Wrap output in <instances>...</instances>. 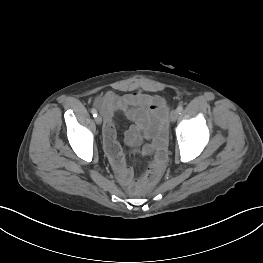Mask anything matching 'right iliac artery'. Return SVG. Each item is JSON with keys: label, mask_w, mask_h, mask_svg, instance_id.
I'll list each match as a JSON object with an SVG mask.
<instances>
[{"label": "right iliac artery", "mask_w": 263, "mask_h": 263, "mask_svg": "<svg viewBox=\"0 0 263 263\" xmlns=\"http://www.w3.org/2000/svg\"><path fill=\"white\" fill-rule=\"evenodd\" d=\"M91 113H92L93 117H96V116H97V111H96L95 108H92V109H91Z\"/></svg>", "instance_id": "82829eb1"}]
</instances>
